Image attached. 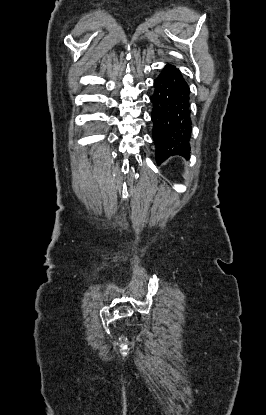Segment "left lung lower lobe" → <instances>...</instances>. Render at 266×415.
Masks as SVG:
<instances>
[{"instance_id": "obj_1", "label": "left lung lower lobe", "mask_w": 266, "mask_h": 415, "mask_svg": "<svg viewBox=\"0 0 266 415\" xmlns=\"http://www.w3.org/2000/svg\"><path fill=\"white\" fill-rule=\"evenodd\" d=\"M152 102L153 140L158 164L170 156L190 153V88L175 66L167 64L154 82Z\"/></svg>"}]
</instances>
